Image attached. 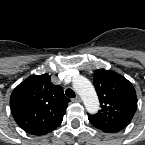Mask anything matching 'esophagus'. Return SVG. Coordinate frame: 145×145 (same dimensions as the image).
<instances>
[{"instance_id": "obj_1", "label": "esophagus", "mask_w": 145, "mask_h": 145, "mask_svg": "<svg viewBox=\"0 0 145 145\" xmlns=\"http://www.w3.org/2000/svg\"><path fill=\"white\" fill-rule=\"evenodd\" d=\"M73 101L80 103L81 102V97L80 96H76V98Z\"/></svg>"}]
</instances>
